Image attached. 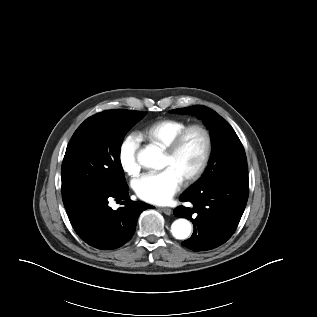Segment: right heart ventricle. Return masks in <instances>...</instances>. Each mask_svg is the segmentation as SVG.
I'll use <instances>...</instances> for the list:
<instances>
[{"label": "right heart ventricle", "instance_id": "right-heart-ventricle-1", "mask_svg": "<svg viewBox=\"0 0 317 317\" xmlns=\"http://www.w3.org/2000/svg\"><path fill=\"white\" fill-rule=\"evenodd\" d=\"M187 125L186 121L179 119H161L144 128L141 137L166 149L173 138Z\"/></svg>", "mask_w": 317, "mask_h": 317}]
</instances>
